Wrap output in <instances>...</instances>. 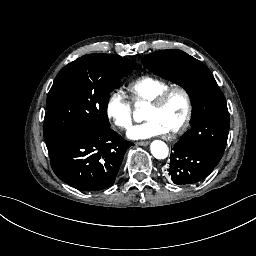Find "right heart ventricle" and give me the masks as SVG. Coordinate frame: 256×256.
<instances>
[{"mask_svg":"<svg viewBox=\"0 0 256 256\" xmlns=\"http://www.w3.org/2000/svg\"><path fill=\"white\" fill-rule=\"evenodd\" d=\"M167 89L154 83L150 79L141 80L135 89V107L139 113H143L153 104Z\"/></svg>","mask_w":256,"mask_h":256,"instance_id":"obj_1","label":"right heart ventricle"}]
</instances>
